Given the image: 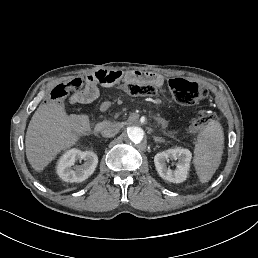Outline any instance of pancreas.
I'll return each instance as SVG.
<instances>
[{
    "instance_id": "1",
    "label": "pancreas",
    "mask_w": 258,
    "mask_h": 258,
    "mask_svg": "<svg viewBox=\"0 0 258 258\" xmlns=\"http://www.w3.org/2000/svg\"><path fill=\"white\" fill-rule=\"evenodd\" d=\"M136 116H141V111H136ZM145 119H150V114H145ZM127 120H133V115H127ZM155 121L162 127L168 124V121L165 118L160 119V116H155Z\"/></svg>"
}]
</instances>
